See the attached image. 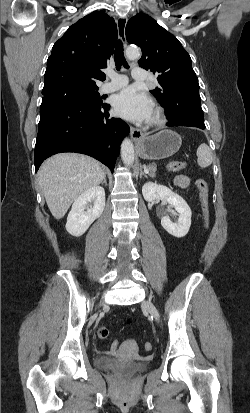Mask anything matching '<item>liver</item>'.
<instances>
[{
    "label": "liver",
    "instance_id": "liver-1",
    "mask_svg": "<svg viewBox=\"0 0 250 413\" xmlns=\"http://www.w3.org/2000/svg\"><path fill=\"white\" fill-rule=\"evenodd\" d=\"M105 172L95 159L62 153L48 158L38 171V182L48 208L61 219L79 195L103 182Z\"/></svg>",
    "mask_w": 250,
    "mask_h": 413
}]
</instances>
